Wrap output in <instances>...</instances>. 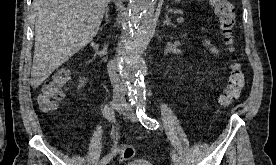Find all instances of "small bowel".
<instances>
[{"label": "small bowel", "mask_w": 276, "mask_h": 165, "mask_svg": "<svg viewBox=\"0 0 276 165\" xmlns=\"http://www.w3.org/2000/svg\"><path fill=\"white\" fill-rule=\"evenodd\" d=\"M203 44L213 56L215 57L219 56V50L216 46L211 44L208 40H205Z\"/></svg>", "instance_id": "c3829d8e"}]
</instances>
